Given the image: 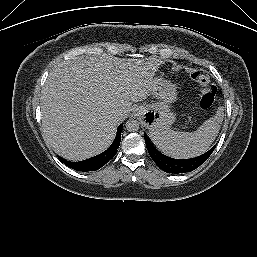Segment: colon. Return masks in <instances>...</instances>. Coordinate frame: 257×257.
Instances as JSON below:
<instances>
[{"mask_svg":"<svg viewBox=\"0 0 257 257\" xmlns=\"http://www.w3.org/2000/svg\"><path fill=\"white\" fill-rule=\"evenodd\" d=\"M190 79L200 86L199 106L202 109L211 108L217 95V87L208 76L199 71L190 73Z\"/></svg>","mask_w":257,"mask_h":257,"instance_id":"1","label":"colon"}]
</instances>
